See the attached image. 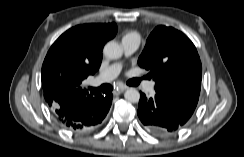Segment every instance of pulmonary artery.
<instances>
[{"label": "pulmonary artery", "instance_id": "obj_1", "mask_svg": "<svg viewBox=\"0 0 244 157\" xmlns=\"http://www.w3.org/2000/svg\"><path fill=\"white\" fill-rule=\"evenodd\" d=\"M121 44H122L124 54L126 56H129V55L133 54L138 49L139 40L136 38H131V37L123 38ZM121 69H122V64L119 62L110 65L109 67L104 69L99 74L95 83L101 84V83H106V82L112 81L113 79H115L118 76ZM153 88H154L153 82H146L144 84V90L146 92H152Z\"/></svg>", "mask_w": 244, "mask_h": 157}]
</instances>
